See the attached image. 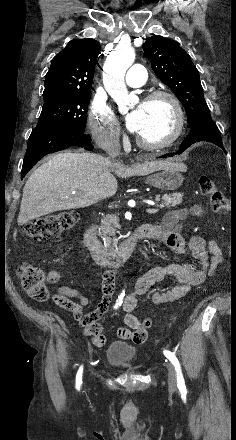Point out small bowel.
Returning a JSON list of instances; mask_svg holds the SVG:
<instances>
[{
	"label": "small bowel",
	"mask_w": 236,
	"mask_h": 440,
	"mask_svg": "<svg viewBox=\"0 0 236 440\" xmlns=\"http://www.w3.org/2000/svg\"><path fill=\"white\" fill-rule=\"evenodd\" d=\"M203 210L200 206L194 205L190 208H182L170 211L164 217L160 225H154L152 239L163 244L179 256H189L190 260L183 263H172L151 268L136 282L135 290L128 295L122 305L124 322L126 327L118 329V336L124 340L145 339L147 332L144 330L140 320L133 314L137 306L138 298L146 294L150 288L164 280L166 277H174L178 284L166 291H154L151 300L155 304H165L177 301L189 292L193 286L201 284L208 276H213L221 262L223 254L216 241L209 243L199 237L193 236L188 242L181 237L182 222L189 215H201ZM59 273L51 271L48 274L49 284H55L59 280ZM115 285V273L105 272L102 276V298L93 311L86 316L83 309L89 304L87 296L77 288L63 286L53 299L55 303L67 311L73 317L81 321L80 327L94 345L102 346L106 337L101 333L98 320L107 312ZM134 341V340H133ZM141 343L142 341H135Z\"/></svg>",
	"instance_id": "small-bowel-1"
}]
</instances>
